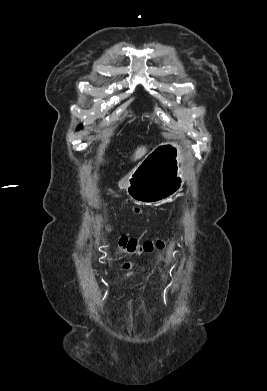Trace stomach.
<instances>
[{"mask_svg": "<svg viewBox=\"0 0 267 391\" xmlns=\"http://www.w3.org/2000/svg\"><path fill=\"white\" fill-rule=\"evenodd\" d=\"M189 158L183 144L176 141L161 144L119 182V187L139 204L167 201L182 190Z\"/></svg>", "mask_w": 267, "mask_h": 391, "instance_id": "obj_1", "label": "stomach"}]
</instances>
